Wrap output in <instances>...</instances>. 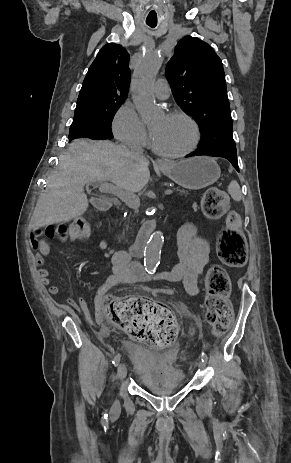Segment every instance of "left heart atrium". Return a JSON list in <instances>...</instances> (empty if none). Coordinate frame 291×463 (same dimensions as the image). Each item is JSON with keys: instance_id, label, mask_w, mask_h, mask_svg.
Returning <instances> with one entry per match:
<instances>
[{"instance_id": "39dd6f15", "label": "left heart atrium", "mask_w": 291, "mask_h": 463, "mask_svg": "<svg viewBox=\"0 0 291 463\" xmlns=\"http://www.w3.org/2000/svg\"><path fill=\"white\" fill-rule=\"evenodd\" d=\"M157 130L156 129H153L152 130V136H154L156 134Z\"/></svg>"}]
</instances>
